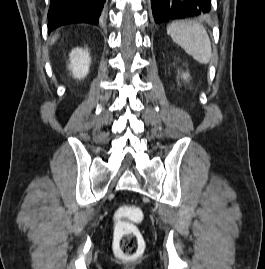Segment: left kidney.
<instances>
[{
	"mask_svg": "<svg viewBox=\"0 0 265 269\" xmlns=\"http://www.w3.org/2000/svg\"><path fill=\"white\" fill-rule=\"evenodd\" d=\"M182 77H183V79L187 80V79H188V77H189V74H188V73L183 74V75H182Z\"/></svg>",
	"mask_w": 265,
	"mask_h": 269,
	"instance_id": "1",
	"label": "left kidney"
}]
</instances>
